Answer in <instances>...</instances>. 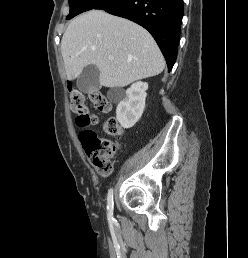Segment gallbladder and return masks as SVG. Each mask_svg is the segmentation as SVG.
I'll return each instance as SVG.
<instances>
[{
  "mask_svg": "<svg viewBox=\"0 0 248 258\" xmlns=\"http://www.w3.org/2000/svg\"><path fill=\"white\" fill-rule=\"evenodd\" d=\"M99 77L100 72L96 65L90 64L85 66L77 79L78 89L83 93H89L97 89L100 85Z\"/></svg>",
  "mask_w": 248,
  "mask_h": 258,
  "instance_id": "obj_1",
  "label": "gallbladder"
}]
</instances>
